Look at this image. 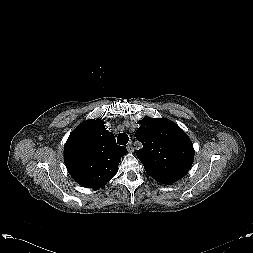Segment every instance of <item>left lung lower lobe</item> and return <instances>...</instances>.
Instances as JSON below:
<instances>
[{
    "label": "left lung lower lobe",
    "instance_id": "1",
    "mask_svg": "<svg viewBox=\"0 0 253 253\" xmlns=\"http://www.w3.org/2000/svg\"><path fill=\"white\" fill-rule=\"evenodd\" d=\"M152 178L162 184H172L183 177V175H177L172 173H165V172H147Z\"/></svg>",
    "mask_w": 253,
    "mask_h": 253
}]
</instances>
